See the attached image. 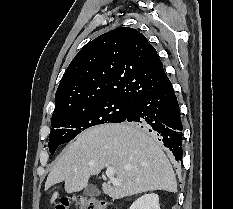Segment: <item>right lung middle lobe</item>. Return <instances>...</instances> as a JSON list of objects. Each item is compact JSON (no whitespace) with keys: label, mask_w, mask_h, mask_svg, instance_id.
<instances>
[{"label":"right lung middle lobe","mask_w":233,"mask_h":209,"mask_svg":"<svg viewBox=\"0 0 233 209\" xmlns=\"http://www.w3.org/2000/svg\"><path fill=\"white\" fill-rule=\"evenodd\" d=\"M132 105L133 102L128 100L107 98L82 105L63 114L53 115L49 134L50 153L53 155L59 145L70 142L91 126L123 122Z\"/></svg>","instance_id":"obj_1"}]
</instances>
